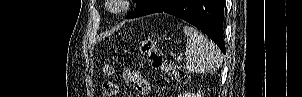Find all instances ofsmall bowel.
I'll return each instance as SVG.
<instances>
[{"label":"small bowel","mask_w":302,"mask_h":97,"mask_svg":"<svg viewBox=\"0 0 302 97\" xmlns=\"http://www.w3.org/2000/svg\"><path fill=\"white\" fill-rule=\"evenodd\" d=\"M122 77L125 82L133 84L140 94H147L150 91V84L141 72L124 67Z\"/></svg>","instance_id":"obj_1"}]
</instances>
